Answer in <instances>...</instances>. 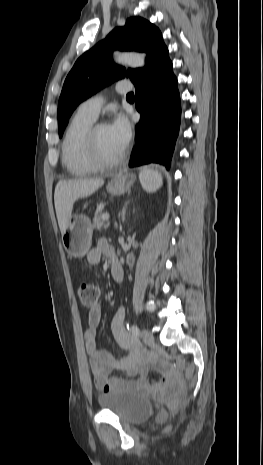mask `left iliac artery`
Instances as JSON below:
<instances>
[{
  "instance_id": "44dca946",
  "label": "left iliac artery",
  "mask_w": 263,
  "mask_h": 465,
  "mask_svg": "<svg viewBox=\"0 0 263 465\" xmlns=\"http://www.w3.org/2000/svg\"><path fill=\"white\" fill-rule=\"evenodd\" d=\"M130 332L134 337H139L140 336V330L137 325H132L130 328Z\"/></svg>"
}]
</instances>
